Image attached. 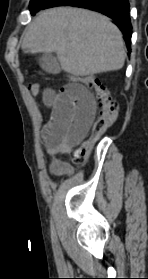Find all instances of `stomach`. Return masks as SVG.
Instances as JSON below:
<instances>
[{"instance_id":"0dacf381","label":"stomach","mask_w":148,"mask_h":279,"mask_svg":"<svg viewBox=\"0 0 148 279\" xmlns=\"http://www.w3.org/2000/svg\"><path fill=\"white\" fill-rule=\"evenodd\" d=\"M27 69H42V64H27ZM30 75H45V70H30Z\"/></svg>"}]
</instances>
